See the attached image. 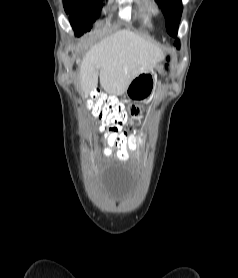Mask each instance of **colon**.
Returning <instances> with one entry per match:
<instances>
[{"label": "colon", "instance_id": "obj_1", "mask_svg": "<svg viewBox=\"0 0 238 278\" xmlns=\"http://www.w3.org/2000/svg\"><path fill=\"white\" fill-rule=\"evenodd\" d=\"M88 108L92 114L101 120L108 128L107 136L103 141H98L100 148V159H120L125 162L138 153L142 138L146 134L145 130H138V137H119L127 136V131H119L118 127L125 123L127 111L124 105L115 97L107 95L100 91H94L88 100ZM142 141H148V138H142ZM116 153V154H115ZM135 162H140V157L134 158Z\"/></svg>", "mask_w": 238, "mask_h": 278}]
</instances>
